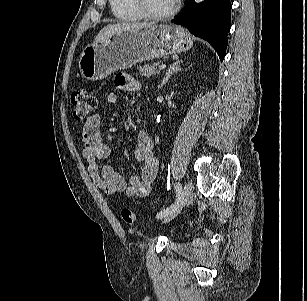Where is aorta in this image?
Returning a JSON list of instances; mask_svg holds the SVG:
<instances>
[{
    "mask_svg": "<svg viewBox=\"0 0 307 301\" xmlns=\"http://www.w3.org/2000/svg\"><path fill=\"white\" fill-rule=\"evenodd\" d=\"M202 0H196V2H201Z\"/></svg>",
    "mask_w": 307,
    "mask_h": 301,
    "instance_id": "aorta-1",
    "label": "aorta"
}]
</instances>
